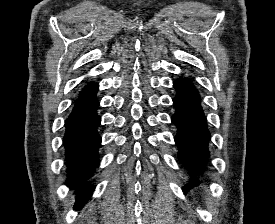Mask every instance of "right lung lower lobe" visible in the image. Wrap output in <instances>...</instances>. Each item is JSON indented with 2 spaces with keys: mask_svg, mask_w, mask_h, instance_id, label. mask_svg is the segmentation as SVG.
I'll use <instances>...</instances> for the list:
<instances>
[{
  "mask_svg": "<svg viewBox=\"0 0 275 224\" xmlns=\"http://www.w3.org/2000/svg\"><path fill=\"white\" fill-rule=\"evenodd\" d=\"M98 85L89 83L79 93L71 114L65 122V160L68 184L77 195L74 209L82 207L91 197L94 186L89 185L99 165L98 148L101 137L97 128L101 118L97 114Z\"/></svg>",
  "mask_w": 275,
  "mask_h": 224,
  "instance_id": "1",
  "label": "right lung lower lobe"
}]
</instances>
